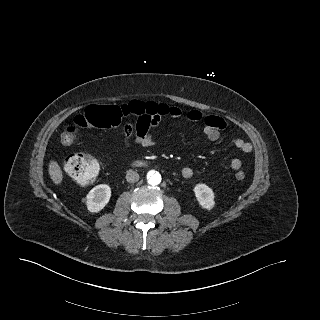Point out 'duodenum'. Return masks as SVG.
I'll return each mask as SVG.
<instances>
[{
    "label": "duodenum",
    "instance_id": "duodenum-1",
    "mask_svg": "<svg viewBox=\"0 0 320 320\" xmlns=\"http://www.w3.org/2000/svg\"><path fill=\"white\" fill-rule=\"evenodd\" d=\"M138 165H144L145 163L142 161L137 162Z\"/></svg>",
    "mask_w": 320,
    "mask_h": 320
}]
</instances>
